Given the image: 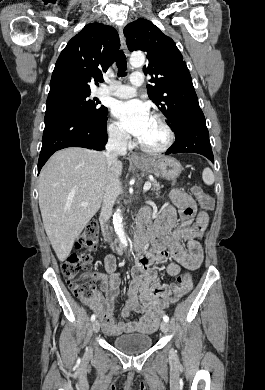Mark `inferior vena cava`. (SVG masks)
I'll list each match as a JSON object with an SVG mask.
<instances>
[{"mask_svg":"<svg viewBox=\"0 0 265 390\" xmlns=\"http://www.w3.org/2000/svg\"><path fill=\"white\" fill-rule=\"evenodd\" d=\"M126 153L127 141L125 135L121 132L111 133L106 144V151L104 152L108 167L117 160L119 155H126ZM119 190L120 182L117 179L111 180L105 188V195L100 213V217L104 222H107L111 217L113 204Z\"/></svg>","mask_w":265,"mask_h":390,"instance_id":"obj_1","label":"inferior vena cava"}]
</instances>
